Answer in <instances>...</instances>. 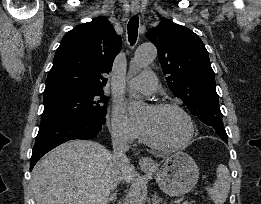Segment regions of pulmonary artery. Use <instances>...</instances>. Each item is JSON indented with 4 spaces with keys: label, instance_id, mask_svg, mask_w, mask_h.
I'll return each mask as SVG.
<instances>
[{
    "label": "pulmonary artery",
    "instance_id": "obj_1",
    "mask_svg": "<svg viewBox=\"0 0 261 204\" xmlns=\"http://www.w3.org/2000/svg\"><path fill=\"white\" fill-rule=\"evenodd\" d=\"M131 89L145 94H152L157 89V78L152 71H144L128 82Z\"/></svg>",
    "mask_w": 261,
    "mask_h": 204
}]
</instances>
